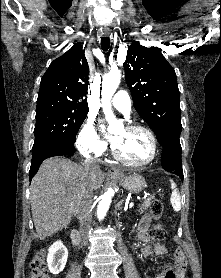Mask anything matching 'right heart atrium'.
Segmentation results:
<instances>
[{
    "label": "right heart atrium",
    "mask_w": 221,
    "mask_h": 278,
    "mask_svg": "<svg viewBox=\"0 0 221 278\" xmlns=\"http://www.w3.org/2000/svg\"><path fill=\"white\" fill-rule=\"evenodd\" d=\"M77 147L87 157H99L106 150V142L101 139L95 121L89 118L77 136Z\"/></svg>",
    "instance_id": "obj_1"
}]
</instances>
